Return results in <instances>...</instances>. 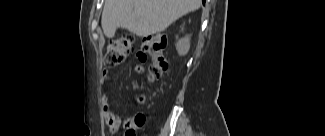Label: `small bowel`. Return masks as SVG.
Masks as SVG:
<instances>
[{
    "mask_svg": "<svg viewBox=\"0 0 325 136\" xmlns=\"http://www.w3.org/2000/svg\"><path fill=\"white\" fill-rule=\"evenodd\" d=\"M143 47L138 44L132 45V50L135 51V59L137 64H147L148 58L147 54L143 53ZM110 82V72L107 69H104L102 71V84L104 86H108ZM102 109L104 112V117L107 126L109 127V130L112 133L117 132L122 124L124 125L126 129V133L128 132H134L136 128L142 126L145 123L146 116L144 113L139 112L135 114L134 116L124 120H122L115 114V112L112 110L111 105L108 101V98L106 96L102 99Z\"/></svg>",
    "mask_w": 325,
    "mask_h": 136,
    "instance_id": "c3829d8e",
    "label": "small bowel"
}]
</instances>
